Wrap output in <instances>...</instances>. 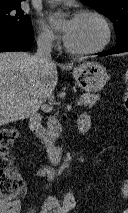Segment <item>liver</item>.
Masks as SVG:
<instances>
[{"label": "liver", "mask_w": 128, "mask_h": 213, "mask_svg": "<svg viewBox=\"0 0 128 213\" xmlns=\"http://www.w3.org/2000/svg\"><path fill=\"white\" fill-rule=\"evenodd\" d=\"M58 73L53 63L43 76L34 56L24 52L0 53V126L29 118L53 91Z\"/></svg>", "instance_id": "liver-1"}]
</instances>
